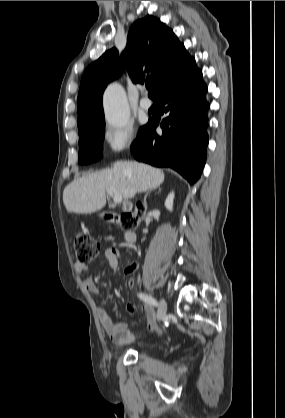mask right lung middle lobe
I'll list each match as a JSON object with an SVG mask.
<instances>
[{
  "instance_id": "1",
  "label": "right lung middle lobe",
  "mask_w": 285,
  "mask_h": 418,
  "mask_svg": "<svg viewBox=\"0 0 285 418\" xmlns=\"http://www.w3.org/2000/svg\"><path fill=\"white\" fill-rule=\"evenodd\" d=\"M79 164H89L102 157V142L105 133L104 115L98 119L78 125Z\"/></svg>"
}]
</instances>
